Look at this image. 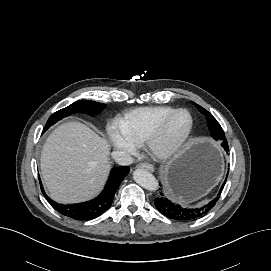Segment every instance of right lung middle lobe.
<instances>
[{
	"label": "right lung middle lobe",
	"mask_w": 271,
	"mask_h": 271,
	"mask_svg": "<svg viewBox=\"0 0 271 271\" xmlns=\"http://www.w3.org/2000/svg\"><path fill=\"white\" fill-rule=\"evenodd\" d=\"M104 107L105 105L103 103H97L94 101H89V100L76 101L70 106L52 114L50 118L48 119L43 132H45L50 126L55 124L57 121H59L60 119L64 117L69 116L70 114L88 113V115L93 116V115L98 114Z\"/></svg>",
	"instance_id": "dd1d6c3e"
}]
</instances>
